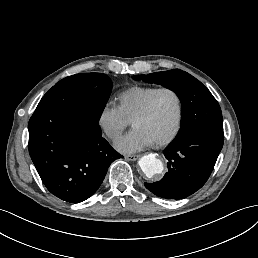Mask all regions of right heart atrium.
Here are the masks:
<instances>
[{"instance_id":"obj_1","label":"right heart atrium","mask_w":258,"mask_h":258,"mask_svg":"<svg viewBox=\"0 0 258 258\" xmlns=\"http://www.w3.org/2000/svg\"><path fill=\"white\" fill-rule=\"evenodd\" d=\"M99 124L109 137H115L125 130L129 123L116 106H109L102 110Z\"/></svg>"}]
</instances>
